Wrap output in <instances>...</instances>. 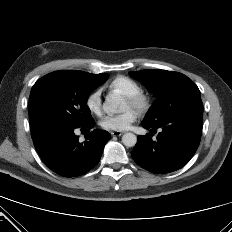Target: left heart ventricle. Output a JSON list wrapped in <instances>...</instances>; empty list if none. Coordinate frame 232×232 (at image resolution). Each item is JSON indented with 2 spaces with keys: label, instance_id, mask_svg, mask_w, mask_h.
Segmentation results:
<instances>
[{
  "label": "left heart ventricle",
  "instance_id": "1",
  "mask_svg": "<svg viewBox=\"0 0 232 232\" xmlns=\"http://www.w3.org/2000/svg\"><path fill=\"white\" fill-rule=\"evenodd\" d=\"M131 108L129 102L127 100H125V105H124V109H129Z\"/></svg>",
  "mask_w": 232,
  "mask_h": 232
}]
</instances>
